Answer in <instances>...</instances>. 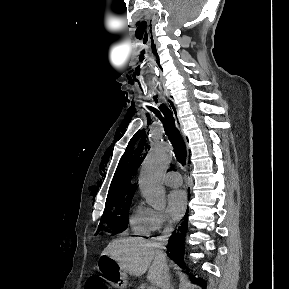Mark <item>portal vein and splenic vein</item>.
<instances>
[{
    "instance_id": "1",
    "label": "portal vein and splenic vein",
    "mask_w": 289,
    "mask_h": 289,
    "mask_svg": "<svg viewBox=\"0 0 289 289\" xmlns=\"http://www.w3.org/2000/svg\"><path fill=\"white\" fill-rule=\"evenodd\" d=\"M148 289H155L154 287H149Z\"/></svg>"
}]
</instances>
